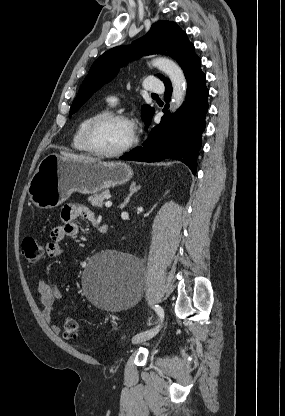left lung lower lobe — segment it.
I'll return each instance as SVG.
<instances>
[{
  "label": "left lung lower lobe",
  "instance_id": "1",
  "mask_svg": "<svg viewBox=\"0 0 285 416\" xmlns=\"http://www.w3.org/2000/svg\"><path fill=\"white\" fill-rule=\"evenodd\" d=\"M187 79L185 103L173 115L166 114L160 124L150 132L141 147L120 157L122 160L159 162L175 159L185 163L196 173V158L201 147V135L205 129V115L208 111L209 91L205 85L206 76L201 70L199 57L192 59L183 69ZM165 101H169L172 85L165 82ZM167 108V106L165 107ZM150 121L147 122L149 126Z\"/></svg>",
  "mask_w": 285,
  "mask_h": 416
}]
</instances>
